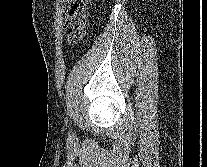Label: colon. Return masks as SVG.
<instances>
[{
    "instance_id": "colon-1",
    "label": "colon",
    "mask_w": 207,
    "mask_h": 167,
    "mask_svg": "<svg viewBox=\"0 0 207 167\" xmlns=\"http://www.w3.org/2000/svg\"><path fill=\"white\" fill-rule=\"evenodd\" d=\"M90 0H66L65 1V33L72 42L84 37V20Z\"/></svg>"
}]
</instances>
